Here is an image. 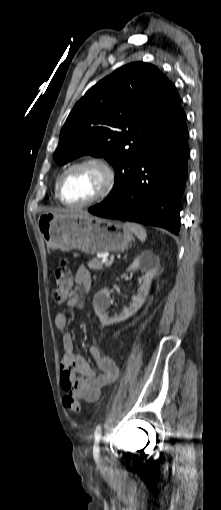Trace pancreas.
Listing matches in <instances>:
<instances>
[{
	"label": "pancreas",
	"instance_id": "cf45deb5",
	"mask_svg": "<svg viewBox=\"0 0 221 510\" xmlns=\"http://www.w3.org/2000/svg\"><path fill=\"white\" fill-rule=\"evenodd\" d=\"M105 266L109 267L107 265H105ZM88 267L91 270H96V271H100V270L104 269L103 263L99 259H97V258H94L91 261H89L88 262Z\"/></svg>",
	"mask_w": 221,
	"mask_h": 510
}]
</instances>
